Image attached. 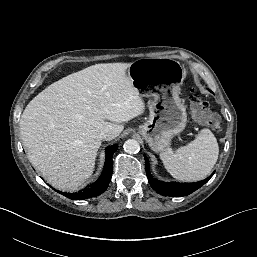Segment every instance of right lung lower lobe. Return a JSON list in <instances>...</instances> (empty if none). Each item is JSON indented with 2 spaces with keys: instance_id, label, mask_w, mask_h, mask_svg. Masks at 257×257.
Here are the masks:
<instances>
[{
  "instance_id": "right-lung-lower-lobe-1",
  "label": "right lung lower lobe",
  "mask_w": 257,
  "mask_h": 257,
  "mask_svg": "<svg viewBox=\"0 0 257 257\" xmlns=\"http://www.w3.org/2000/svg\"><path fill=\"white\" fill-rule=\"evenodd\" d=\"M118 149L117 145L108 147L106 150V160L104 169L100 177L91 185L83 188L76 193H62L64 196L73 200H82L90 197H94L103 193L111 180L112 177V157L114 152Z\"/></svg>"
}]
</instances>
